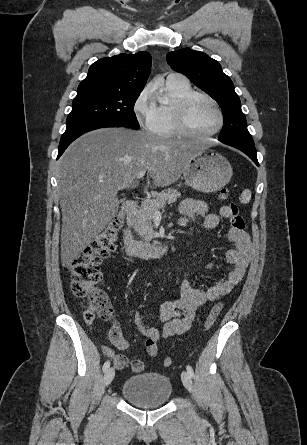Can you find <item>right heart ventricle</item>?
<instances>
[{"mask_svg":"<svg viewBox=\"0 0 307 445\" xmlns=\"http://www.w3.org/2000/svg\"><path fill=\"white\" fill-rule=\"evenodd\" d=\"M192 91V87L187 81L169 79L166 82L164 91L168 97V102H162L159 96L155 95V107L158 114V123L154 131L162 136L157 140H180L172 137L178 135L179 131L174 124L169 108L172 102L180 100Z\"/></svg>","mask_w":307,"mask_h":445,"instance_id":"right-heart-ventricle-1","label":"right heart ventricle"}]
</instances>
